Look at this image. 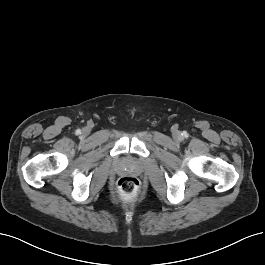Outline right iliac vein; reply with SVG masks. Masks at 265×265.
<instances>
[{"label":"right iliac vein","instance_id":"right-iliac-vein-1","mask_svg":"<svg viewBox=\"0 0 265 265\" xmlns=\"http://www.w3.org/2000/svg\"><path fill=\"white\" fill-rule=\"evenodd\" d=\"M83 133L87 134L88 133V129L87 128L83 129Z\"/></svg>","mask_w":265,"mask_h":265}]
</instances>
